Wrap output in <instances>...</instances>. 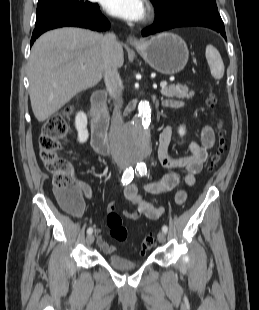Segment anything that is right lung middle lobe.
<instances>
[{
    "label": "right lung middle lobe",
    "instance_id": "dd1d6c3e",
    "mask_svg": "<svg viewBox=\"0 0 259 310\" xmlns=\"http://www.w3.org/2000/svg\"><path fill=\"white\" fill-rule=\"evenodd\" d=\"M94 4L84 0H39L36 23L52 15H70L89 10Z\"/></svg>",
    "mask_w": 259,
    "mask_h": 310
}]
</instances>
